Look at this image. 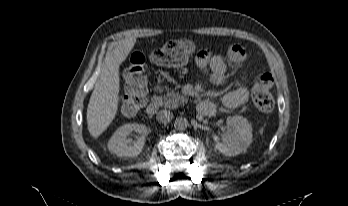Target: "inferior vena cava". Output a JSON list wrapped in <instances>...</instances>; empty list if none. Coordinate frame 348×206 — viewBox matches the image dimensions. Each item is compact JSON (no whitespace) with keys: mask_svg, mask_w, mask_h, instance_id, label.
<instances>
[{"mask_svg":"<svg viewBox=\"0 0 348 206\" xmlns=\"http://www.w3.org/2000/svg\"><path fill=\"white\" fill-rule=\"evenodd\" d=\"M173 113L169 110H160L157 114V120L161 123H168L172 120Z\"/></svg>","mask_w":348,"mask_h":206,"instance_id":"602c4592","label":"inferior vena cava"}]
</instances>
